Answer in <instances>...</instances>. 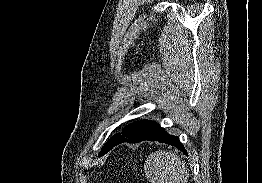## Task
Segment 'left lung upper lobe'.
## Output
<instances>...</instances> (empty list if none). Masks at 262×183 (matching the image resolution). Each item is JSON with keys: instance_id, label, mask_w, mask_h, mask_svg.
<instances>
[{"instance_id": "1", "label": "left lung upper lobe", "mask_w": 262, "mask_h": 183, "mask_svg": "<svg viewBox=\"0 0 262 183\" xmlns=\"http://www.w3.org/2000/svg\"><path fill=\"white\" fill-rule=\"evenodd\" d=\"M147 122V120H142L140 122H135L132 123L128 126H126L123 130H122V134L117 133L115 135H113L104 145V147L101 149V151L99 152L98 156H103L104 154H106V152L108 151L109 147L117 140L121 139V138H127L128 136L133 135L134 133H136L139 129H141L145 123Z\"/></svg>"}]
</instances>
